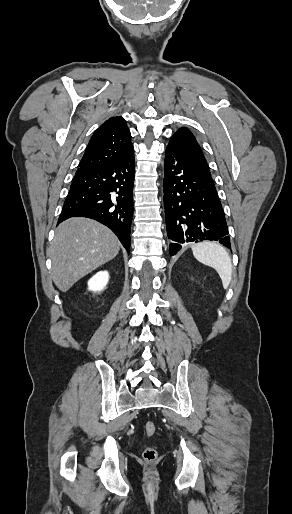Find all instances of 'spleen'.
Listing matches in <instances>:
<instances>
[{"label": "spleen", "mask_w": 292, "mask_h": 514, "mask_svg": "<svg viewBox=\"0 0 292 514\" xmlns=\"http://www.w3.org/2000/svg\"><path fill=\"white\" fill-rule=\"evenodd\" d=\"M192 252L198 262L205 266H211L218 272L223 288L227 290L232 280V264L225 248H222L220 244H213V242H200V244H193Z\"/></svg>", "instance_id": "1"}]
</instances>
